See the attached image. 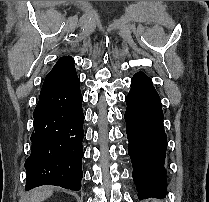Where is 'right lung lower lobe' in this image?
<instances>
[{
  "mask_svg": "<svg viewBox=\"0 0 209 202\" xmlns=\"http://www.w3.org/2000/svg\"><path fill=\"white\" fill-rule=\"evenodd\" d=\"M82 95L71 61L60 58L46 75L34 110L26 190L41 185L81 189L84 138Z\"/></svg>",
  "mask_w": 209,
  "mask_h": 202,
  "instance_id": "right-lung-lower-lobe-1",
  "label": "right lung lower lobe"
}]
</instances>
